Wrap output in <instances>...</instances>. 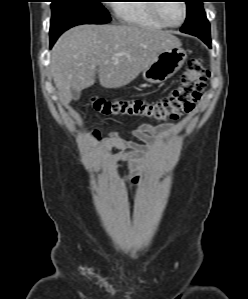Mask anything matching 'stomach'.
Instances as JSON below:
<instances>
[{"mask_svg":"<svg viewBox=\"0 0 248 299\" xmlns=\"http://www.w3.org/2000/svg\"><path fill=\"white\" fill-rule=\"evenodd\" d=\"M186 59L187 52L180 46L168 48L142 71L143 79L148 83H163L183 66Z\"/></svg>","mask_w":248,"mask_h":299,"instance_id":"obj_1","label":"stomach"}]
</instances>
